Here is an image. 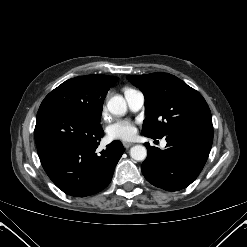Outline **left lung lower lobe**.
Returning <instances> with one entry per match:
<instances>
[{"mask_svg": "<svg viewBox=\"0 0 247 247\" xmlns=\"http://www.w3.org/2000/svg\"><path fill=\"white\" fill-rule=\"evenodd\" d=\"M165 137V150L145 144L148 156L141 169L152 185L167 191H178L190 185L204 167L213 142V125H189Z\"/></svg>", "mask_w": 247, "mask_h": 247, "instance_id": "0a47b994", "label": "left lung lower lobe"}]
</instances>
